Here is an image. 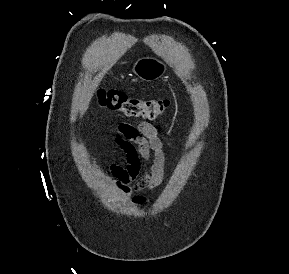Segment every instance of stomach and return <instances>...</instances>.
Segmentation results:
<instances>
[{"label":"stomach","instance_id":"1","mask_svg":"<svg viewBox=\"0 0 289 274\" xmlns=\"http://www.w3.org/2000/svg\"><path fill=\"white\" fill-rule=\"evenodd\" d=\"M166 70V64L155 57L140 58L132 67V72L138 78L147 82L161 78L165 74Z\"/></svg>","mask_w":289,"mask_h":274}]
</instances>
